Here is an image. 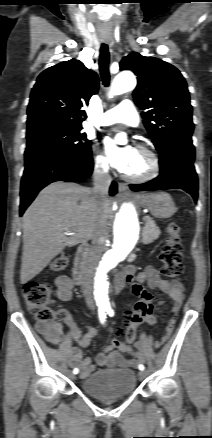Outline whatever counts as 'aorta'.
Here are the masks:
<instances>
[{"label": "aorta", "instance_id": "1", "mask_svg": "<svg viewBox=\"0 0 212 438\" xmlns=\"http://www.w3.org/2000/svg\"><path fill=\"white\" fill-rule=\"evenodd\" d=\"M135 86L136 78L133 73L121 72L112 83L109 97L123 94L134 89ZM113 234V247L104 254L92 279L95 299L103 306L109 305L108 273L127 258L140 237V223L132 203H123L115 214Z\"/></svg>", "mask_w": 212, "mask_h": 438}]
</instances>
